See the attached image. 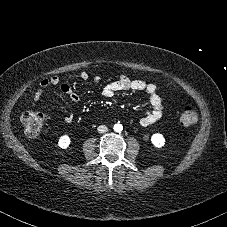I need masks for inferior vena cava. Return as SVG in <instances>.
I'll return each mask as SVG.
<instances>
[{
  "mask_svg": "<svg viewBox=\"0 0 227 227\" xmlns=\"http://www.w3.org/2000/svg\"><path fill=\"white\" fill-rule=\"evenodd\" d=\"M97 131L99 133H105L108 131V127L106 125H100V126H98Z\"/></svg>",
  "mask_w": 227,
  "mask_h": 227,
  "instance_id": "inferior-vena-cava-1",
  "label": "inferior vena cava"
}]
</instances>
